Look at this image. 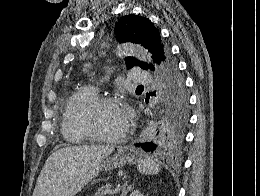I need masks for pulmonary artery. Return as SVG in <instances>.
<instances>
[{"instance_id": "e3ab8cb5", "label": "pulmonary artery", "mask_w": 260, "mask_h": 196, "mask_svg": "<svg viewBox=\"0 0 260 196\" xmlns=\"http://www.w3.org/2000/svg\"><path fill=\"white\" fill-rule=\"evenodd\" d=\"M128 76L132 77V84H154L151 72H143L142 69H131Z\"/></svg>"}]
</instances>
